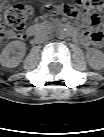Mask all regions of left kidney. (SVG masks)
I'll return each instance as SVG.
<instances>
[{
  "mask_svg": "<svg viewBox=\"0 0 104 137\" xmlns=\"http://www.w3.org/2000/svg\"><path fill=\"white\" fill-rule=\"evenodd\" d=\"M87 59L91 67L101 69L103 67V53L96 49H90L87 53Z\"/></svg>",
  "mask_w": 104,
  "mask_h": 137,
  "instance_id": "1",
  "label": "left kidney"
}]
</instances>
